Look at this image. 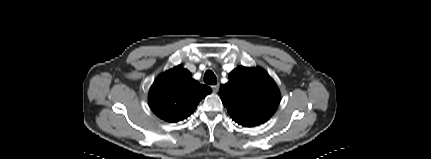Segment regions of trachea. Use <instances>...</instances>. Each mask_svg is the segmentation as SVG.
Masks as SVG:
<instances>
[{
    "instance_id": "obj_1",
    "label": "trachea",
    "mask_w": 431,
    "mask_h": 159,
    "mask_svg": "<svg viewBox=\"0 0 431 159\" xmlns=\"http://www.w3.org/2000/svg\"><path fill=\"white\" fill-rule=\"evenodd\" d=\"M204 82L209 85H216L217 78L212 70H207L204 74Z\"/></svg>"
}]
</instances>
